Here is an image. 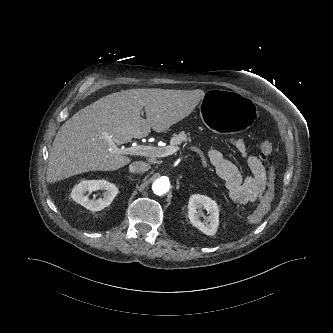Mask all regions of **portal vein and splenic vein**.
Returning <instances> with one entry per match:
<instances>
[{
  "label": "portal vein and splenic vein",
  "instance_id": "1",
  "mask_svg": "<svg viewBox=\"0 0 333 333\" xmlns=\"http://www.w3.org/2000/svg\"><path fill=\"white\" fill-rule=\"evenodd\" d=\"M180 149L178 146H168L165 148L162 147H152V146H143V145H133L131 147H121L114 148L115 151H118L126 155H139V156H150V157H166L171 154H174Z\"/></svg>",
  "mask_w": 333,
  "mask_h": 333
}]
</instances>
